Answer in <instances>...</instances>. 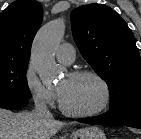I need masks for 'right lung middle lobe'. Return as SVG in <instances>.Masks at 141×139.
Masks as SVG:
<instances>
[{
	"label": "right lung middle lobe",
	"instance_id": "1",
	"mask_svg": "<svg viewBox=\"0 0 141 139\" xmlns=\"http://www.w3.org/2000/svg\"><path fill=\"white\" fill-rule=\"evenodd\" d=\"M28 61L0 60V100L31 98L26 79Z\"/></svg>",
	"mask_w": 141,
	"mask_h": 139
}]
</instances>
